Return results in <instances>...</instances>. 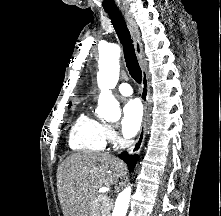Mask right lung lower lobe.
I'll return each instance as SVG.
<instances>
[{"label":"right lung lower lobe","mask_w":221,"mask_h":216,"mask_svg":"<svg viewBox=\"0 0 221 216\" xmlns=\"http://www.w3.org/2000/svg\"><path fill=\"white\" fill-rule=\"evenodd\" d=\"M119 157L125 161V163L128 165L129 171H132L134 167L136 166V162L138 159V156L135 155H128L127 152H123L119 155Z\"/></svg>","instance_id":"98d812e1"}]
</instances>
